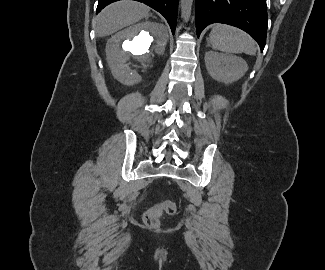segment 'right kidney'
<instances>
[{
  "label": "right kidney",
  "instance_id": "1",
  "mask_svg": "<svg viewBox=\"0 0 325 270\" xmlns=\"http://www.w3.org/2000/svg\"><path fill=\"white\" fill-rule=\"evenodd\" d=\"M167 41L165 27L148 21L116 33L106 44L112 75L124 85L140 83L153 68L156 57L164 53Z\"/></svg>",
  "mask_w": 325,
  "mask_h": 270
}]
</instances>
